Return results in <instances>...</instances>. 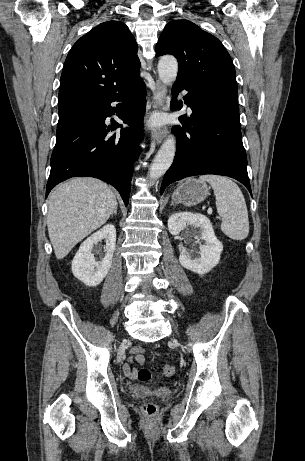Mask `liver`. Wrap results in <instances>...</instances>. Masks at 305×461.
<instances>
[{"label": "liver", "mask_w": 305, "mask_h": 461, "mask_svg": "<svg viewBox=\"0 0 305 461\" xmlns=\"http://www.w3.org/2000/svg\"><path fill=\"white\" fill-rule=\"evenodd\" d=\"M117 201L110 187L94 178H74L50 195L47 227L57 259H63L88 234L102 226Z\"/></svg>", "instance_id": "6515ba94"}]
</instances>
